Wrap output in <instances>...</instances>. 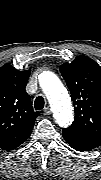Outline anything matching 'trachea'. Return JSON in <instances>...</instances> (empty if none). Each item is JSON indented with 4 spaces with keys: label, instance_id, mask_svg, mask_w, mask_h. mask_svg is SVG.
Returning <instances> with one entry per match:
<instances>
[{
    "label": "trachea",
    "instance_id": "1",
    "mask_svg": "<svg viewBox=\"0 0 101 180\" xmlns=\"http://www.w3.org/2000/svg\"><path fill=\"white\" fill-rule=\"evenodd\" d=\"M44 104H45L44 98L42 96H38L35 99L34 107L36 110H42L44 108Z\"/></svg>",
    "mask_w": 101,
    "mask_h": 180
}]
</instances>
